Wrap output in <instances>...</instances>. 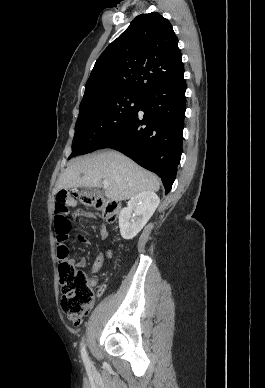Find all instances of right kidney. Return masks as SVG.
<instances>
[{
  "label": "right kidney",
  "instance_id": "1",
  "mask_svg": "<svg viewBox=\"0 0 265 388\" xmlns=\"http://www.w3.org/2000/svg\"><path fill=\"white\" fill-rule=\"evenodd\" d=\"M160 200L154 192H140L133 196L119 214L120 234L124 240H133L153 216Z\"/></svg>",
  "mask_w": 265,
  "mask_h": 388
}]
</instances>
